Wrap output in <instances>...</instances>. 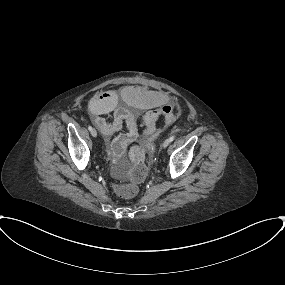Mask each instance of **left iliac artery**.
I'll return each mask as SVG.
<instances>
[{
    "label": "left iliac artery",
    "instance_id": "1",
    "mask_svg": "<svg viewBox=\"0 0 285 285\" xmlns=\"http://www.w3.org/2000/svg\"><path fill=\"white\" fill-rule=\"evenodd\" d=\"M174 139H175V136H174V135H172V136L169 138L170 142H172Z\"/></svg>",
    "mask_w": 285,
    "mask_h": 285
}]
</instances>
